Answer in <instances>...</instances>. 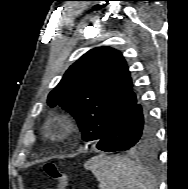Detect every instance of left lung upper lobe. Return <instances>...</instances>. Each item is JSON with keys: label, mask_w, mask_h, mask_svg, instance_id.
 I'll return each mask as SVG.
<instances>
[{"label": "left lung upper lobe", "mask_w": 188, "mask_h": 189, "mask_svg": "<svg viewBox=\"0 0 188 189\" xmlns=\"http://www.w3.org/2000/svg\"><path fill=\"white\" fill-rule=\"evenodd\" d=\"M136 103L124 57L104 46L89 50L71 65L47 99L49 106L59 105L71 113L83 140L93 144Z\"/></svg>", "instance_id": "5c2ea615"}]
</instances>
